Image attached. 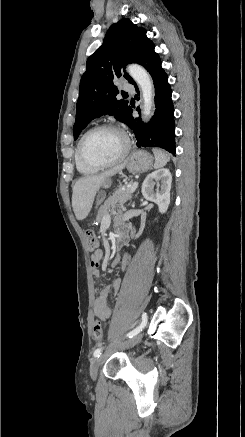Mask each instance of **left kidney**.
Returning a JSON list of instances; mask_svg holds the SVG:
<instances>
[{"mask_svg":"<svg viewBox=\"0 0 245 437\" xmlns=\"http://www.w3.org/2000/svg\"><path fill=\"white\" fill-rule=\"evenodd\" d=\"M157 182V189L154 191V185ZM160 182V183H159ZM172 175L167 168L158 169L149 174L142 184L143 197L158 205L159 212L165 213L170 204V189Z\"/></svg>","mask_w":245,"mask_h":437,"instance_id":"5707ae66","label":"left kidney"}]
</instances>
